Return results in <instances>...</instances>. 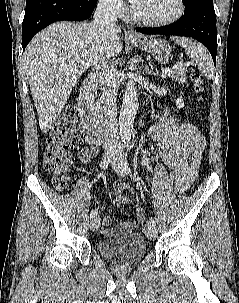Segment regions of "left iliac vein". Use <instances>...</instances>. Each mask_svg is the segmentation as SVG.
<instances>
[{"label": "left iliac vein", "instance_id": "1", "mask_svg": "<svg viewBox=\"0 0 239 303\" xmlns=\"http://www.w3.org/2000/svg\"><path fill=\"white\" fill-rule=\"evenodd\" d=\"M111 165L118 175L125 176L127 174V172L124 170L119 158H113ZM144 233L148 239L154 240L157 236L156 226L153 225L152 223L146 224V226L144 228Z\"/></svg>", "mask_w": 239, "mask_h": 303}]
</instances>
